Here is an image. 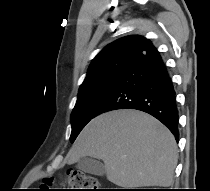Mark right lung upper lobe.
<instances>
[{
  "mask_svg": "<svg viewBox=\"0 0 210 191\" xmlns=\"http://www.w3.org/2000/svg\"><path fill=\"white\" fill-rule=\"evenodd\" d=\"M146 38L138 35H131L120 38L111 44L107 45L98 55L93 59L88 73L103 65L104 63L120 57H132L134 53L146 42Z\"/></svg>",
  "mask_w": 210,
  "mask_h": 191,
  "instance_id": "cb5924a9",
  "label": "right lung upper lobe"
}]
</instances>
